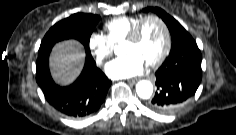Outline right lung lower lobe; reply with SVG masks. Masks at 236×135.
I'll return each instance as SVG.
<instances>
[{
  "mask_svg": "<svg viewBox=\"0 0 236 135\" xmlns=\"http://www.w3.org/2000/svg\"><path fill=\"white\" fill-rule=\"evenodd\" d=\"M49 53L38 56L36 81L47 102L60 113L72 117H87L99 110L111 81L96 67L91 53L86 52L84 69L70 86L57 85L49 71Z\"/></svg>",
  "mask_w": 236,
  "mask_h": 135,
  "instance_id": "obj_1",
  "label": "right lung lower lobe"
}]
</instances>
